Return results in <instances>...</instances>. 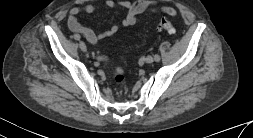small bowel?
<instances>
[{
    "instance_id": "c3829d8e",
    "label": "small bowel",
    "mask_w": 253,
    "mask_h": 138,
    "mask_svg": "<svg viewBox=\"0 0 253 138\" xmlns=\"http://www.w3.org/2000/svg\"><path fill=\"white\" fill-rule=\"evenodd\" d=\"M105 5L109 8H123L127 11L126 16L122 20L124 27H132L136 24L138 17L147 10L160 12L169 16H177L178 12L170 6L159 5L154 0H136L134 2L126 0H105ZM97 11L94 5H86L84 7H74L69 11L68 26L72 32L82 34L91 44H97L105 38L114 36L119 31V25L115 24L110 28L95 32L93 29L82 25L78 19L82 13L92 14Z\"/></svg>"
}]
</instances>
